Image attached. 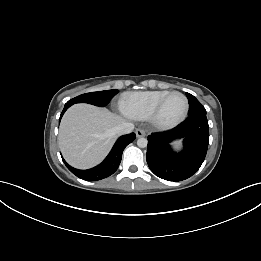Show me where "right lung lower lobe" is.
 <instances>
[{
	"label": "right lung lower lobe",
	"instance_id": "right-lung-lower-lobe-1",
	"mask_svg": "<svg viewBox=\"0 0 261 261\" xmlns=\"http://www.w3.org/2000/svg\"><path fill=\"white\" fill-rule=\"evenodd\" d=\"M69 105H65L60 119L64 112L69 108ZM136 135L135 133H131L128 135L121 136L113 146L111 152L109 155L105 158V160L97 165L94 168L88 169V170H79L71 167L69 164H67L64 160L65 165L67 168L77 177L87 180V181H97L104 179L110 175H112L118 168L121 158H122V153L125 147L130 144L131 142L134 141Z\"/></svg>",
	"mask_w": 261,
	"mask_h": 261
}]
</instances>
